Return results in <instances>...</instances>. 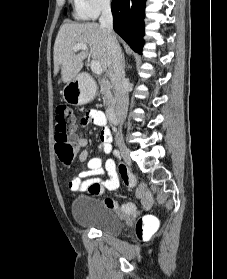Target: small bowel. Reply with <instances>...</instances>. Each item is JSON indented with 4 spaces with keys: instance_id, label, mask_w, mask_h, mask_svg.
I'll list each match as a JSON object with an SVG mask.
<instances>
[{
    "instance_id": "small-bowel-1",
    "label": "small bowel",
    "mask_w": 227,
    "mask_h": 279,
    "mask_svg": "<svg viewBox=\"0 0 227 279\" xmlns=\"http://www.w3.org/2000/svg\"><path fill=\"white\" fill-rule=\"evenodd\" d=\"M89 123H93L102 128L100 133L101 145L99 146L98 154L93 157H90L87 150H81L79 152L78 159L81 163H86V168L77 175L68 178V188L73 192L91 191L90 185L98 184L103 189L115 191L120 184V178L116 171V163L112 158L103 160L101 156V154L109 155L112 152L111 130L107 126V120L102 111L98 109H90L87 111L81 122V129L76 133L75 144L79 148L87 146L88 140L82 128ZM103 176H106V178ZM122 182L127 187L136 186V181L132 174H123ZM136 196L140 200V207L132 204H118L111 198L104 199L103 203L109 210L122 215H135L140 211L149 210L152 207V194L147 185H138L136 188Z\"/></svg>"
}]
</instances>
